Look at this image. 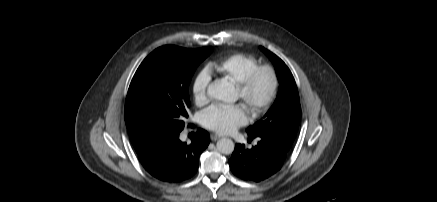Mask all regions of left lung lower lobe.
<instances>
[{
  "label": "left lung lower lobe",
  "instance_id": "1",
  "mask_svg": "<svg viewBox=\"0 0 437 202\" xmlns=\"http://www.w3.org/2000/svg\"><path fill=\"white\" fill-rule=\"evenodd\" d=\"M248 135L251 140L257 138V145L248 149L237 144L229 160L230 169L243 180L260 182L281 169L289 150L269 138Z\"/></svg>",
  "mask_w": 437,
  "mask_h": 202
}]
</instances>
